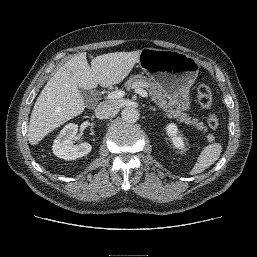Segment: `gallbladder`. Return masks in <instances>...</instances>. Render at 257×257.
Masks as SVG:
<instances>
[{"instance_id": "bac80fb5", "label": "gallbladder", "mask_w": 257, "mask_h": 257, "mask_svg": "<svg viewBox=\"0 0 257 257\" xmlns=\"http://www.w3.org/2000/svg\"><path fill=\"white\" fill-rule=\"evenodd\" d=\"M81 95L85 100H89L93 95V92L90 90H81Z\"/></svg>"}]
</instances>
